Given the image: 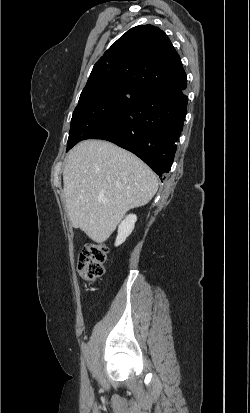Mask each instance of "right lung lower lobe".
<instances>
[{"label":"right lung lower lobe","instance_id":"98d812e1","mask_svg":"<svg viewBox=\"0 0 250 413\" xmlns=\"http://www.w3.org/2000/svg\"><path fill=\"white\" fill-rule=\"evenodd\" d=\"M187 82L139 94L86 139H103L131 151L160 177L168 173L187 113Z\"/></svg>","mask_w":250,"mask_h":413}]
</instances>
